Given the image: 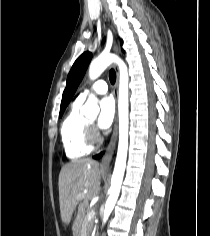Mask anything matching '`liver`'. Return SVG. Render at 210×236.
<instances>
[{
  "instance_id": "liver-1",
  "label": "liver",
  "mask_w": 210,
  "mask_h": 236,
  "mask_svg": "<svg viewBox=\"0 0 210 236\" xmlns=\"http://www.w3.org/2000/svg\"><path fill=\"white\" fill-rule=\"evenodd\" d=\"M102 174L99 163L89 159L75 160L62 167L59 174L61 219L68 225L78 206V213L72 226L73 232L80 230L85 208L89 201L99 194ZM78 196L81 198L78 199Z\"/></svg>"
}]
</instances>
